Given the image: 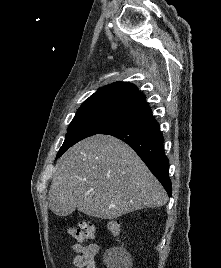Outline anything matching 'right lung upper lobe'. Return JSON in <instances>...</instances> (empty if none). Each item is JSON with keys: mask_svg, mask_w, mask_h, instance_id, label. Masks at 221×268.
Listing matches in <instances>:
<instances>
[{"mask_svg": "<svg viewBox=\"0 0 221 268\" xmlns=\"http://www.w3.org/2000/svg\"><path fill=\"white\" fill-rule=\"evenodd\" d=\"M101 110L131 121L148 114L151 109L145 96L131 83L116 82L98 89L78 111Z\"/></svg>", "mask_w": 221, "mask_h": 268, "instance_id": "right-lung-upper-lobe-1", "label": "right lung upper lobe"}]
</instances>
